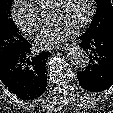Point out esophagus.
<instances>
[{
    "mask_svg": "<svg viewBox=\"0 0 113 113\" xmlns=\"http://www.w3.org/2000/svg\"><path fill=\"white\" fill-rule=\"evenodd\" d=\"M74 45H76V43H73V44H65V45H63V46L60 47V50H62V51L71 50Z\"/></svg>",
    "mask_w": 113,
    "mask_h": 113,
    "instance_id": "1",
    "label": "esophagus"
}]
</instances>
